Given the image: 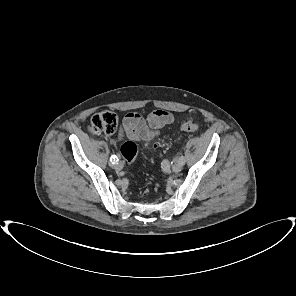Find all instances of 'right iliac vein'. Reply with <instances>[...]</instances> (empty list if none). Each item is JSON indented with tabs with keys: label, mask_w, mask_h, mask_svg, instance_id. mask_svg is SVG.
<instances>
[{
	"label": "right iliac vein",
	"mask_w": 296,
	"mask_h": 296,
	"mask_svg": "<svg viewBox=\"0 0 296 296\" xmlns=\"http://www.w3.org/2000/svg\"><path fill=\"white\" fill-rule=\"evenodd\" d=\"M114 168H115V170H117V171L122 170V168H123V164H122V162L117 163V164L115 165Z\"/></svg>",
	"instance_id": "1"
}]
</instances>
